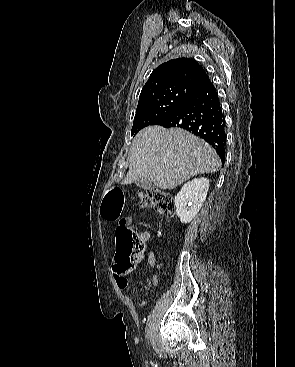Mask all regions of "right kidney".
Wrapping results in <instances>:
<instances>
[{"label": "right kidney", "instance_id": "obj_1", "mask_svg": "<svg viewBox=\"0 0 295 367\" xmlns=\"http://www.w3.org/2000/svg\"><path fill=\"white\" fill-rule=\"evenodd\" d=\"M208 189L207 178L193 179L183 185L174 202L181 223H189L195 218L206 199Z\"/></svg>", "mask_w": 295, "mask_h": 367}]
</instances>
